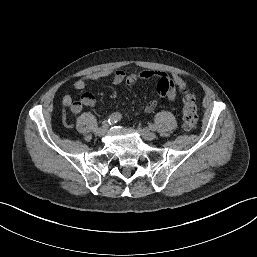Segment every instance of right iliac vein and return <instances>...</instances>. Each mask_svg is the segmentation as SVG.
<instances>
[{
  "mask_svg": "<svg viewBox=\"0 0 257 257\" xmlns=\"http://www.w3.org/2000/svg\"><path fill=\"white\" fill-rule=\"evenodd\" d=\"M107 129H108V124L106 123V124H104L103 126H101V127L96 131V135H97L98 137L104 136V134L106 133Z\"/></svg>",
  "mask_w": 257,
  "mask_h": 257,
  "instance_id": "obj_1",
  "label": "right iliac vein"
}]
</instances>
